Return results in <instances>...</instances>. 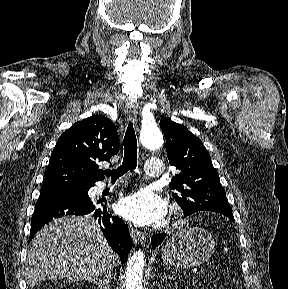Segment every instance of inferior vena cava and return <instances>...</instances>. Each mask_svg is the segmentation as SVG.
<instances>
[{
	"mask_svg": "<svg viewBox=\"0 0 288 289\" xmlns=\"http://www.w3.org/2000/svg\"><path fill=\"white\" fill-rule=\"evenodd\" d=\"M111 268H112V266H109V267H108L107 272L110 270V273H108V275H106V279H104V282H105V284H107V285H108V283H109V280L111 279Z\"/></svg>",
	"mask_w": 288,
	"mask_h": 289,
	"instance_id": "602c4592",
	"label": "inferior vena cava"
}]
</instances>
